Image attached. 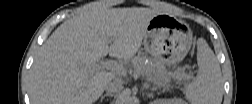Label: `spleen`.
I'll return each instance as SVG.
<instances>
[{
    "label": "spleen",
    "mask_w": 252,
    "mask_h": 104,
    "mask_svg": "<svg viewBox=\"0 0 252 104\" xmlns=\"http://www.w3.org/2000/svg\"><path fill=\"white\" fill-rule=\"evenodd\" d=\"M198 73L193 82L185 87V97L192 104H220L223 82L220 65L207 42L197 41Z\"/></svg>",
    "instance_id": "3e777b00"
}]
</instances>
